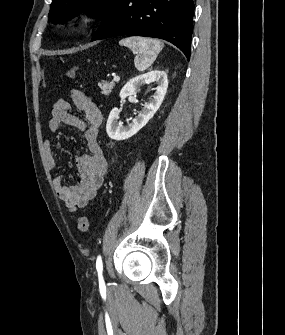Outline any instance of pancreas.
Listing matches in <instances>:
<instances>
[{
  "mask_svg": "<svg viewBox=\"0 0 285 335\" xmlns=\"http://www.w3.org/2000/svg\"><path fill=\"white\" fill-rule=\"evenodd\" d=\"M99 88H101V94L104 96H109L111 94L115 84L114 82H107V80H101L98 84Z\"/></svg>",
  "mask_w": 285,
  "mask_h": 335,
  "instance_id": "obj_1",
  "label": "pancreas"
}]
</instances>
